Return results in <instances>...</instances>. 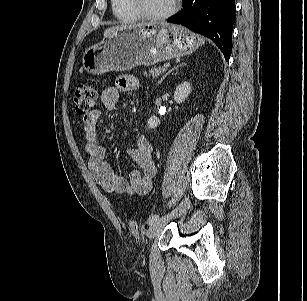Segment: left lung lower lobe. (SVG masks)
<instances>
[{
  "label": "left lung lower lobe",
  "mask_w": 307,
  "mask_h": 301,
  "mask_svg": "<svg viewBox=\"0 0 307 301\" xmlns=\"http://www.w3.org/2000/svg\"><path fill=\"white\" fill-rule=\"evenodd\" d=\"M167 22L182 24L213 40L228 61L232 51L235 0H183L180 13Z\"/></svg>",
  "instance_id": "0a47b994"
}]
</instances>
